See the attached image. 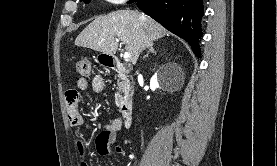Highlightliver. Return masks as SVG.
<instances>
[{
  "mask_svg": "<svg viewBox=\"0 0 277 166\" xmlns=\"http://www.w3.org/2000/svg\"><path fill=\"white\" fill-rule=\"evenodd\" d=\"M165 35L168 32L155 20L127 9L97 17L77 36L75 45L113 56L119 39L136 64L140 53Z\"/></svg>",
  "mask_w": 277,
  "mask_h": 166,
  "instance_id": "1",
  "label": "liver"
}]
</instances>
